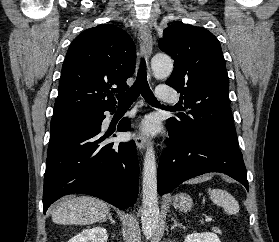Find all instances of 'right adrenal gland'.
I'll use <instances>...</instances> for the list:
<instances>
[{"label": "right adrenal gland", "mask_w": 279, "mask_h": 242, "mask_svg": "<svg viewBox=\"0 0 279 242\" xmlns=\"http://www.w3.org/2000/svg\"><path fill=\"white\" fill-rule=\"evenodd\" d=\"M107 219H109L111 223L115 224V220L112 218L111 213L108 214V217L104 221H106Z\"/></svg>", "instance_id": "2a0ac1e0"}]
</instances>
